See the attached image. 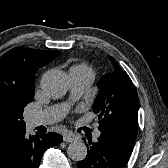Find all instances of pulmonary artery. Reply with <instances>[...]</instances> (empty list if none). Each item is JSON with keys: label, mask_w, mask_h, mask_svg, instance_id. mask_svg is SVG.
Instances as JSON below:
<instances>
[{"label": "pulmonary artery", "mask_w": 168, "mask_h": 168, "mask_svg": "<svg viewBox=\"0 0 168 168\" xmlns=\"http://www.w3.org/2000/svg\"><path fill=\"white\" fill-rule=\"evenodd\" d=\"M70 78L72 98L77 99L90 87L94 80V75L88 72L72 73L70 74ZM67 109L68 104L46 108L39 113L30 115L27 118V126L29 128H35L57 122L65 116ZM100 134V131H96L94 138H99Z\"/></svg>", "instance_id": "e3ab8cb5"}]
</instances>
